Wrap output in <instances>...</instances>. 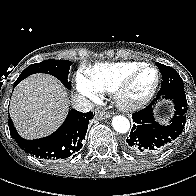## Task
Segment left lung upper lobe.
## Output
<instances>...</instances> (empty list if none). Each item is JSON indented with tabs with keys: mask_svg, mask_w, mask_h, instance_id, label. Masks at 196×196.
I'll use <instances>...</instances> for the list:
<instances>
[{
	"mask_svg": "<svg viewBox=\"0 0 196 196\" xmlns=\"http://www.w3.org/2000/svg\"><path fill=\"white\" fill-rule=\"evenodd\" d=\"M156 65L158 66L160 72L162 69H169L175 73V77H176V82H171L170 80H167L164 82V80H163V82L161 83V89H160L161 94L184 92L183 81H182L181 77L179 76V74L174 69H172L169 66H165L163 64H160V63H156Z\"/></svg>",
	"mask_w": 196,
	"mask_h": 196,
	"instance_id": "1",
	"label": "left lung upper lobe"
}]
</instances>
